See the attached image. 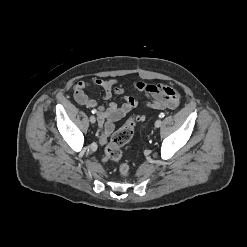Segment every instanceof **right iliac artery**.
<instances>
[{"mask_svg":"<svg viewBox=\"0 0 247 247\" xmlns=\"http://www.w3.org/2000/svg\"><path fill=\"white\" fill-rule=\"evenodd\" d=\"M95 112H96L95 110L92 111V113H95Z\"/></svg>","mask_w":247,"mask_h":247,"instance_id":"right-iliac-artery-1","label":"right iliac artery"}]
</instances>
